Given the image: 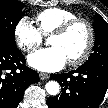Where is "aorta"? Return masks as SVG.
I'll list each match as a JSON object with an SVG mask.
<instances>
[{
	"instance_id": "aorta-1",
	"label": "aorta",
	"mask_w": 108,
	"mask_h": 108,
	"mask_svg": "<svg viewBox=\"0 0 108 108\" xmlns=\"http://www.w3.org/2000/svg\"><path fill=\"white\" fill-rule=\"evenodd\" d=\"M45 89H46L48 94L57 95L59 93V91H60V85L56 81H49L46 84Z\"/></svg>"
}]
</instances>
